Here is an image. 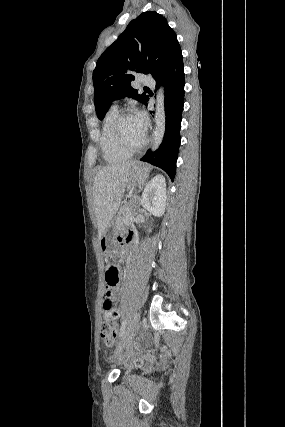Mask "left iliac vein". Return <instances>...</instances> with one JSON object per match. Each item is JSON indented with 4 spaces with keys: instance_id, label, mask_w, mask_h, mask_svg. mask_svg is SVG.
I'll list each match as a JSON object with an SVG mask.
<instances>
[{
    "instance_id": "left-iliac-vein-1",
    "label": "left iliac vein",
    "mask_w": 285,
    "mask_h": 427,
    "mask_svg": "<svg viewBox=\"0 0 285 427\" xmlns=\"http://www.w3.org/2000/svg\"><path fill=\"white\" fill-rule=\"evenodd\" d=\"M139 321H140V314L137 313V314H135L132 321L130 322V324L126 330L124 338L122 339V341L119 343L118 347L116 348L115 353H114V357L116 355H118L132 341L133 337L136 335L138 325H139Z\"/></svg>"
}]
</instances>
